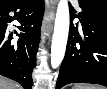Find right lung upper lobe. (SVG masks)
I'll return each mask as SVG.
<instances>
[{
	"label": "right lung upper lobe",
	"mask_w": 107,
	"mask_h": 89,
	"mask_svg": "<svg viewBox=\"0 0 107 89\" xmlns=\"http://www.w3.org/2000/svg\"><path fill=\"white\" fill-rule=\"evenodd\" d=\"M7 0H0V3H4V2H6Z\"/></svg>",
	"instance_id": "cb5924a9"
}]
</instances>
